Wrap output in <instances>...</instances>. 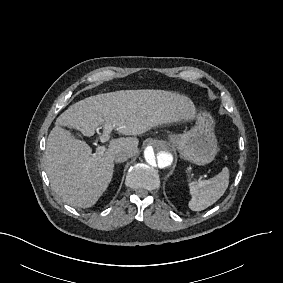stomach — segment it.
Segmentation results:
<instances>
[{"mask_svg":"<svg viewBox=\"0 0 283 283\" xmlns=\"http://www.w3.org/2000/svg\"><path fill=\"white\" fill-rule=\"evenodd\" d=\"M212 126L210 115L203 113L195 127L183 133L168 134L166 143L176 149L185 161L207 165L214 161L219 150Z\"/></svg>","mask_w":283,"mask_h":283,"instance_id":"0dacf381","label":"stomach"}]
</instances>
